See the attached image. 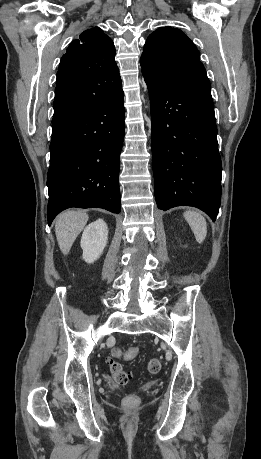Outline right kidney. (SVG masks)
<instances>
[{"instance_id":"ca27d5eb","label":"right kidney","mask_w":261,"mask_h":459,"mask_svg":"<svg viewBox=\"0 0 261 459\" xmlns=\"http://www.w3.org/2000/svg\"><path fill=\"white\" fill-rule=\"evenodd\" d=\"M108 241V227L103 219L90 223L83 231L81 248L83 259L87 263H93L103 253Z\"/></svg>"}]
</instances>
